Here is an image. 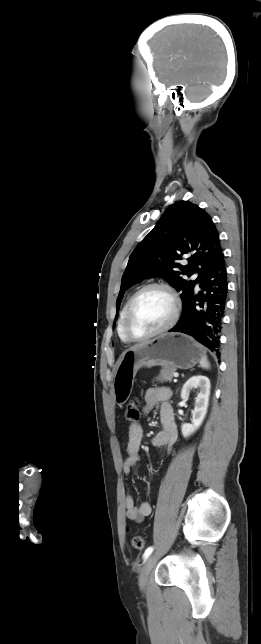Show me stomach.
<instances>
[{
  "instance_id": "obj_1",
  "label": "stomach",
  "mask_w": 261,
  "mask_h": 644,
  "mask_svg": "<svg viewBox=\"0 0 261 644\" xmlns=\"http://www.w3.org/2000/svg\"><path fill=\"white\" fill-rule=\"evenodd\" d=\"M204 356L202 346L181 333H165L128 350L120 358L113 379L112 391L116 404L123 405L129 399L140 368L163 366L186 370L193 368Z\"/></svg>"
}]
</instances>
